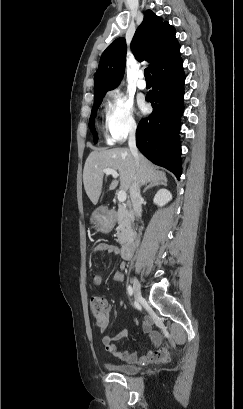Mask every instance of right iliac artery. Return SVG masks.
Listing matches in <instances>:
<instances>
[{"label":"right iliac artery","instance_id":"1","mask_svg":"<svg viewBox=\"0 0 243 409\" xmlns=\"http://www.w3.org/2000/svg\"><path fill=\"white\" fill-rule=\"evenodd\" d=\"M127 290H128V294H129L130 296H132V295H133V289H132V287H131V286H128Z\"/></svg>","mask_w":243,"mask_h":409}]
</instances>
